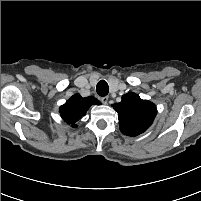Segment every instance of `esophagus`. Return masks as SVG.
<instances>
[{"instance_id":"1","label":"esophagus","mask_w":201,"mask_h":201,"mask_svg":"<svg viewBox=\"0 0 201 201\" xmlns=\"http://www.w3.org/2000/svg\"><path fill=\"white\" fill-rule=\"evenodd\" d=\"M100 100L103 104H107L108 103V96L101 97Z\"/></svg>"}]
</instances>
